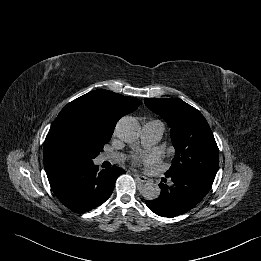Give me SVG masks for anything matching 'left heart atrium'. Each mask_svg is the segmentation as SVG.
<instances>
[{
	"instance_id": "obj_1",
	"label": "left heart atrium",
	"mask_w": 261,
	"mask_h": 261,
	"mask_svg": "<svg viewBox=\"0 0 261 261\" xmlns=\"http://www.w3.org/2000/svg\"><path fill=\"white\" fill-rule=\"evenodd\" d=\"M135 161H136V162H137V161H140V159L137 158V159H135Z\"/></svg>"
}]
</instances>
